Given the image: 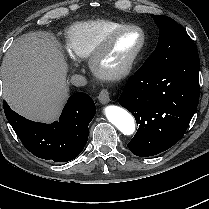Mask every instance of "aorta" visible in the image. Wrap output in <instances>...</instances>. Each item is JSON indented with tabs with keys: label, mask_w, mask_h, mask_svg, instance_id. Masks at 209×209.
Returning a JSON list of instances; mask_svg holds the SVG:
<instances>
[{
	"label": "aorta",
	"mask_w": 209,
	"mask_h": 209,
	"mask_svg": "<svg viewBox=\"0 0 209 209\" xmlns=\"http://www.w3.org/2000/svg\"><path fill=\"white\" fill-rule=\"evenodd\" d=\"M107 119L124 135H131L135 131V119L125 109L109 105L104 109Z\"/></svg>",
	"instance_id": "762f6f07"
}]
</instances>
